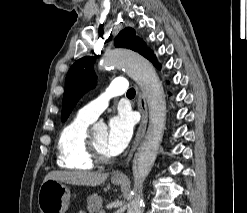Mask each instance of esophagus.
<instances>
[{"label":"esophagus","instance_id":"esophagus-1","mask_svg":"<svg viewBox=\"0 0 247 213\" xmlns=\"http://www.w3.org/2000/svg\"><path fill=\"white\" fill-rule=\"evenodd\" d=\"M137 104H138V109L140 111L141 114V121H140V125L139 128L137 130L136 133V137L134 139L132 148L130 150V153L128 155V158L126 160V165L129 163V161L131 160L134 151L136 150L137 146L139 145L140 141L142 140L145 131H146V127H147V121H148V111H147V104H146V100L144 95L142 94V92L137 88ZM114 178H125V174L123 173V171H116L113 174Z\"/></svg>","mask_w":247,"mask_h":213}]
</instances>
